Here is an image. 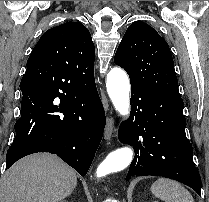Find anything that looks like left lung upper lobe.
<instances>
[{
    "label": "left lung upper lobe",
    "mask_w": 209,
    "mask_h": 202,
    "mask_svg": "<svg viewBox=\"0 0 209 202\" xmlns=\"http://www.w3.org/2000/svg\"><path fill=\"white\" fill-rule=\"evenodd\" d=\"M114 62L126 70L131 84L163 95L180 97L169 46L148 24L136 21L128 27Z\"/></svg>",
    "instance_id": "5c2ea615"
}]
</instances>
